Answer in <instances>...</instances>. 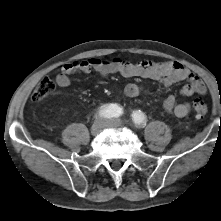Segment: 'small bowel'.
<instances>
[{"label":"small bowel","instance_id":"small-bowel-1","mask_svg":"<svg viewBox=\"0 0 221 221\" xmlns=\"http://www.w3.org/2000/svg\"><path fill=\"white\" fill-rule=\"evenodd\" d=\"M97 73L102 77L112 74H120L124 77H142L155 80L164 86H170L179 81H187V84L180 89L181 96L189 97L194 94L204 95L207 88L201 78L177 62H154L141 60L131 62L124 58L102 60L93 58L79 62L64 64L56 75L55 81L59 87L66 88L71 84L70 77L75 74ZM140 85L130 83L123 88V94L127 98H134L140 94ZM163 108L167 113L177 117H185L191 111L188 102L178 103L176 97L168 95L163 101Z\"/></svg>","mask_w":221,"mask_h":221}]
</instances>
